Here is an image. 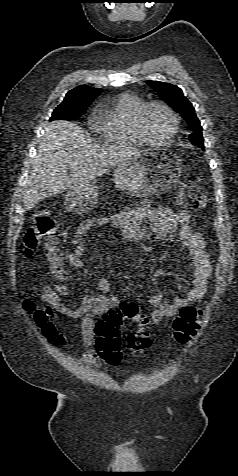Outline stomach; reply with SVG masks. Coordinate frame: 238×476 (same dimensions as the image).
Here are the masks:
<instances>
[{
  "mask_svg": "<svg viewBox=\"0 0 238 476\" xmlns=\"http://www.w3.org/2000/svg\"><path fill=\"white\" fill-rule=\"evenodd\" d=\"M182 162L172 151H134L114 170L116 187L128 195H155L179 180ZM98 187L93 182L71 188L65 197L69 211L85 213L98 202Z\"/></svg>",
  "mask_w": 238,
  "mask_h": 476,
  "instance_id": "0dacf381",
  "label": "stomach"
}]
</instances>
